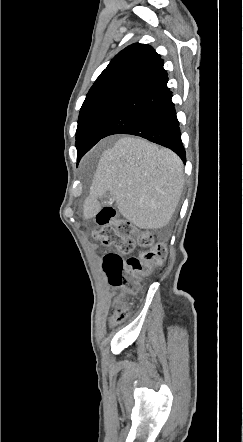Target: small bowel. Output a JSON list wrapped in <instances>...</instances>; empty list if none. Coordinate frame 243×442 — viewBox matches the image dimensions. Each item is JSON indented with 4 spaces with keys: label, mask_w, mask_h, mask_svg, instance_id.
Returning a JSON list of instances; mask_svg holds the SVG:
<instances>
[{
    "label": "small bowel",
    "mask_w": 243,
    "mask_h": 442,
    "mask_svg": "<svg viewBox=\"0 0 243 442\" xmlns=\"http://www.w3.org/2000/svg\"><path fill=\"white\" fill-rule=\"evenodd\" d=\"M113 322H114V320H111V321H110V323H113Z\"/></svg>",
    "instance_id": "small-bowel-1"
}]
</instances>
